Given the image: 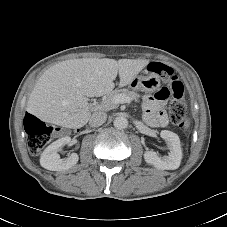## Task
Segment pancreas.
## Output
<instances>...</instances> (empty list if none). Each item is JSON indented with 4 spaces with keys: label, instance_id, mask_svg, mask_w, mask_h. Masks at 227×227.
<instances>
[{
    "label": "pancreas",
    "instance_id": "1",
    "mask_svg": "<svg viewBox=\"0 0 227 227\" xmlns=\"http://www.w3.org/2000/svg\"><path fill=\"white\" fill-rule=\"evenodd\" d=\"M117 95H124L131 100H137L140 95L137 94L134 91H130L128 89H120V90H115L111 93H108L106 96H104L102 103L100 105V110L102 111H109L111 109H114L117 107V104L114 102V97Z\"/></svg>",
    "mask_w": 227,
    "mask_h": 227
}]
</instances>
